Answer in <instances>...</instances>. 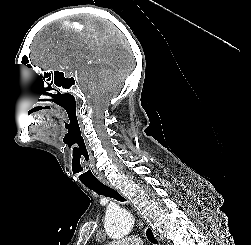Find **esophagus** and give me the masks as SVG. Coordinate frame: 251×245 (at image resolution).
<instances>
[{"label":"esophagus","mask_w":251,"mask_h":245,"mask_svg":"<svg viewBox=\"0 0 251 245\" xmlns=\"http://www.w3.org/2000/svg\"><path fill=\"white\" fill-rule=\"evenodd\" d=\"M102 182L105 184V185H107V186H109V187H111V188H114V186L107 180V179H102ZM137 214H139L138 212H137ZM141 218V217H140ZM142 221V218L140 219V222ZM154 236L156 237V239L158 240V242H159V245H161V239L159 238V236L156 234V233H154Z\"/></svg>","instance_id":"obj_1"}]
</instances>
